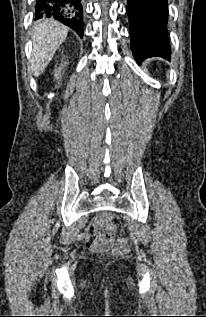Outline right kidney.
<instances>
[{"instance_id": "ca27d5eb", "label": "right kidney", "mask_w": 206, "mask_h": 317, "mask_svg": "<svg viewBox=\"0 0 206 317\" xmlns=\"http://www.w3.org/2000/svg\"><path fill=\"white\" fill-rule=\"evenodd\" d=\"M56 73H55V77H56V79H58V76L60 75V72H61V68H59V71H55Z\"/></svg>"}]
</instances>
